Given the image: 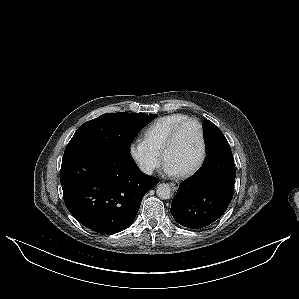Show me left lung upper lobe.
Wrapping results in <instances>:
<instances>
[{
    "mask_svg": "<svg viewBox=\"0 0 299 299\" xmlns=\"http://www.w3.org/2000/svg\"><path fill=\"white\" fill-rule=\"evenodd\" d=\"M203 132H204V138L206 143V152L207 157L204 160L207 161L208 156L217 149H226L229 152H231L230 146L223 135V133L220 131V129L215 126L212 122L209 120H206L203 124Z\"/></svg>",
    "mask_w": 299,
    "mask_h": 299,
    "instance_id": "5c2ea615",
    "label": "left lung upper lobe"
}]
</instances>
